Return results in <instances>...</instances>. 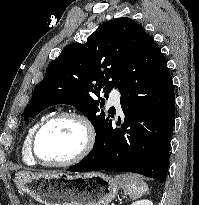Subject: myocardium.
<instances>
[{
  "instance_id": "f54148a6",
  "label": "myocardium",
  "mask_w": 199,
  "mask_h": 205,
  "mask_svg": "<svg viewBox=\"0 0 199 205\" xmlns=\"http://www.w3.org/2000/svg\"><path fill=\"white\" fill-rule=\"evenodd\" d=\"M70 118L78 121L84 129V141L80 150L71 158L60 162L43 161L37 153V139L41 132L54 121ZM95 144V130L91 121L82 113L77 111H62L50 115L35 130L30 139V154L33 160L46 167H66L84 159L93 149Z\"/></svg>"
}]
</instances>
